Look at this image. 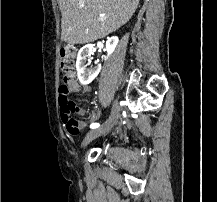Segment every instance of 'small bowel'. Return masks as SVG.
<instances>
[{
    "label": "small bowel",
    "instance_id": "1",
    "mask_svg": "<svg viewBox=\"0 0 217 202\" xmlns=\"http://www.w3.org/2000/svg\"><path fill=\"white\" fill-rule=\"evenodd\" d=\"M69 82L72 84V86L74 87L75 91H78L81 88L80 85L78 84V82L76 80H74V78H73L72 75H70ZM82 89H83L84 92H88L89 91V87H87V86H83ZM85 112L86 111H85L84 108L78 107V109H77V113L78 114L84 115ZM90 118L92 120H96L97 119V114L96 113H91ZM79 124H80L81 128L85 127V123L84 122H80ZM122 133H123V128L121 126H118L117 129H116L115 134L116 135H121Z\"/></svg>",
    "mask_w": 217,
    "mask_h": 202
}]
</instances>
